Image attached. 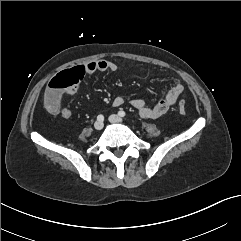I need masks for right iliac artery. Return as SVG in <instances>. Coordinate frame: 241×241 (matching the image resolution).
<instances>
[{
  "label": "right iliac artery",
  "instance_id": "82829eb1",
  "mask_svg": "<svg viewBox=\"0 0 241 241\" xmlns=\"http://www.w3.org/2000/svg\"><path fill=\"white\" fill-rule=\"evenodd\" d=\"M97 120L98 121H103L104 120V116L102 114L97 116Z\"/></svg>",
  "mask_w": 241,
  "mask_h": 241
}]
</instances>
